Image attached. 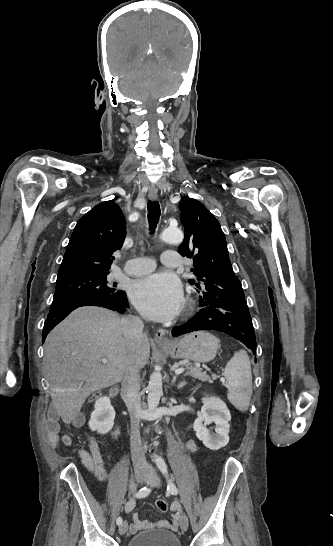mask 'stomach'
<instances>
[{
  "instance_id": "0dacf381",
  "label": "stomach",
  "mask_w": 333,
  "mask_h": 546,
  "mask_svg": "<svg viewBox=\"0 0 333 546\" xmlns=\"http://www.w3.org/2000/svg\"><path fill=\"white\" fill-rule=\"evenodd\" d=\"M220 346L219 339L205 331H197L173 341L162 347L172 358L188 359L195 362H209L213 360Z\"/></svg>"
}]
</instances>
